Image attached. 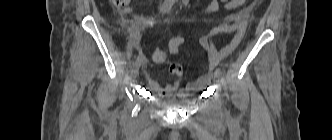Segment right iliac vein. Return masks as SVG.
I'll use <instances>...</instances> for the list:
<instances>
[{"label": "right iliac vein", "mask_w": 332, "mask_h": 140, "mask_svg": "<svg viewBox=\"0 0 332 140\" xmlns=\"http://www.w3.org/2000/svg\"><path fill=\"white\" fill-rule=\"evenodd\" d=\"M140 64H141V61H137L135 64H134V67H133V72L134 74L137 73L139 67H140Z\"/></svg>", "instance_id": "1"}]
</instances>
